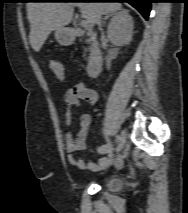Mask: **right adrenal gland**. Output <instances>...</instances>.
<instances>
[{
    "mask_svg": "<svg viewBox=\"0 0 188 213\" xmlns=\"http://www.w3.org/2000/svg\"><path fill=\"white\" fill-rule=\"evenodd\" d=\"M113 15H114V13L106 15V16L104 17V19H103V25H105L106 20H107L109 17H112Z\"/></svg>",
    "mask_w": 188,
    "mask_h": 213,
    "instance_id": "2a0ac1e0",
    "label": "right adrenal gland"
}]
</instances>
